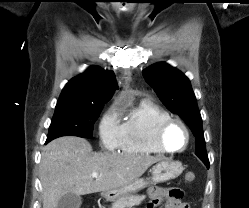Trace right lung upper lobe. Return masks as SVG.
Segmentation results:
<instances>
[{"label": "right lung upper lobe", "mask_w": 249, "mask_h": 208, "mask_svg": "<svg viewBox=\"0 0 249 208\" xmlns=\"http://www.w3.org/2000/svg\"><path fill=\"white\" fill-rule=\"evenodd\" d=\"M116 89H118V85L112 71L92 66L66 84L56 106L71 104L104 105Z\"/></svg>", "instance_id": "cb5924a9"}]
</instances>
